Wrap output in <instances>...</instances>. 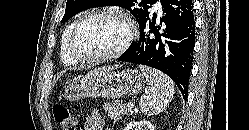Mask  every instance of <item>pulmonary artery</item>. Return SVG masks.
<instances>
[{"instance_id": "e3ab8cb5", "label": "pulmonary artery", "mask_w": 249, "mask_h": 130, "mask_svg": "<svg viewBox=\"0 0 249 130\" xmlns=\"http://www.w3.org/2000/svg\"><path fill=\"white\" fill-rule=\"evenodd\" d=\"M154 10H155V11H158L159 13L162 12L160 2H157V3L154 5Z\"/></svg>"}]
</instances>
